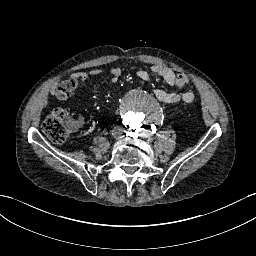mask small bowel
Returning <instances> with one entry per match:
<instances>
[{
  "label": "small bowel",
  "instance_id": "small-bowel-1",
  "mask_svg": "<svg viewBox=\"0 0 256 256\" xmlns=\"http://www.w3.org/2000/svg\"><path fill=\"white\" fill-rule=\"evenodd\" d=\"M121 68L113 67L109 71L110 80L112 83H116L121 76ZM150 73L161 77L164 82L169 86H175V80L177 78L176 73L169 67L164 65H154L150 68V72L141 70L137 73L138 77L143 81L150 79ZM103 72L99 69H93L90 71H81L74 75V78L80 81H87L91 77H99ZM156 98L163 103L171 104L182 100L185 103H191L194 100V93L192 91H185L183 93L169 92L164 89H156L154 92Z\"/></svg>",
  "mask_w": 256,
  "mask_h": 256
}]
</instances>
